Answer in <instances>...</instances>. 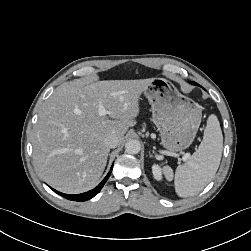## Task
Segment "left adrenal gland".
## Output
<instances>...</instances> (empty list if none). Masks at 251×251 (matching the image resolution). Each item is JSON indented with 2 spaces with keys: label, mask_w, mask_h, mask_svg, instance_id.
Here are the masks:
<instances>
[{
  "label": "left adrenal gland",
  "mask_w": 251,
  "mask_h": 251,
  "mask_svg": "<svg viewBox=\"0 0 251 251\" xmlns=\"http://www.w3.org/2000/svg\"><path fill=\"white\" fill-rule=\"evenodd\" d=\"M149 156H150V157H153V155L151 154V152H150V151H149Z\"/></svg>",
  "instance_id": "a2214340"
}]
</instances>
